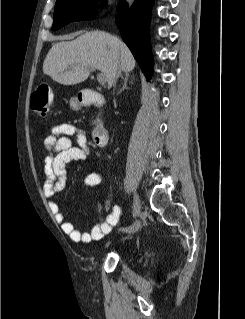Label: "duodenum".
<instances>
[{
    "instance_id": "410a0bca",
    "label": "duodenum",
    "mask_w": 245,
    "mask_h": 319,
    "mask_svg": "<svg viewBox=\"0 0 245 319\" xmlns=\"http://www.w3.org/2000/svg\"><path fill=\"white\" fill-rule=\"evenodd\" d=\"M104 98L98 91L87 90L83 93L81 104L84 106H97L103 105ZM93 141L98 147H104L108 142L109 133L104 123L101 120H96L93 129Z\"/></svg>"
}]
</instances>
